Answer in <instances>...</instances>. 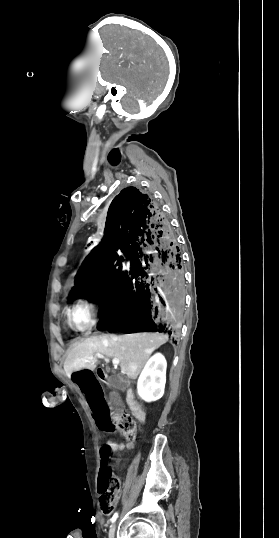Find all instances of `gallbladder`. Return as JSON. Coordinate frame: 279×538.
I'll list each match as a JSON object with an SVG mask.
<instances>
[{
    "instance_id": "gallbladder-1",
    "label": "gallbladder",
    "mask_w": 279,
    "mask_h": 538,
    "mask_svg": "<svg viewBox=\"0 0 279 538\" xmlns=\"http://www.w3.org/2000/svg\"><path fill=\"white\" fill-rule=\"evenodd\" d=\"M110 384L113 388L118 387H127L129 384V379L127 376H121V374H116V376H110ZM110 403L114 410H123L125 407V402L123 399H120L118 395L112 394L109 398ZM112 419H115V416H112Z\"/></svg>"
}]
</instances>
